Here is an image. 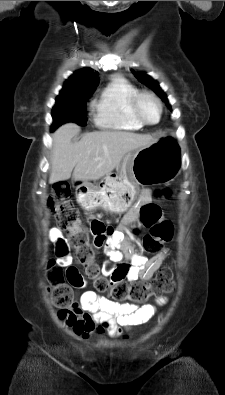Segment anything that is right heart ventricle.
Listing matches in <instances>:
<instances>
[{
	"label": "right heart ventricle",
	"instance_id": "right-heart-ventricle-1",
	"mask_svg": "<svg viewBox=\"0 0 225 395\" xmlns=\"http://www.w3.org/2000/svg\"><path fill=\"white\" fill-rule=\"evenodd\" d=\"M139 90L122 77H114L94 102L96 125L103 129L137 131L143 125L133 116L131 101Z\"/></svg>",
	"mask_w": 225,
	"mask_h": 395
}]
</instances>
